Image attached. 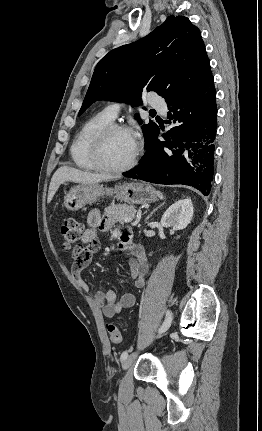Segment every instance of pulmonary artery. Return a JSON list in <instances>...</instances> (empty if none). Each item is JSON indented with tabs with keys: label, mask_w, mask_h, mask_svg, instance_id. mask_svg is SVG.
Returning a JSON list of instances; mask_svg holds the SVG:
<instances>
[{
	"label": "pulmonary artery",
	"mask_w": 262,
	"mask_h": 431,
	"mask_svg": "<svg viewBox=\"0 0 262 431\" xmlns=\"http://www.w3.org/2000/svg\"><path fill=\"white\" fill-rule=\"evenodd\" d=\"M151 106L162 111L163 113L167 112L165 101L163 100V98L159 96H155L151 100ZM119 111H120V104L118 103H112L108 105L105 109V112L107 113V115L113 120L118 116Z\"/></svg>",
	"instance_id": "obj_1"
}]
</instances>
